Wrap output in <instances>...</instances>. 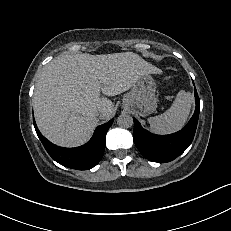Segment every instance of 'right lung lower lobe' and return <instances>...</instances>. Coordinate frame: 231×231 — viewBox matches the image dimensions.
Returning <instances> with one entry per match:
<instances>
[{
  "label": "right lung lower lobe",
  "instance_id": "right-lung-lower-lobe-1",
  "mask_svg": "<svg viewBox=\"0 0 231 231\" xmlns=\"http://www.w3.org/2000/svg\"><path fill=\"white\" fill-rule=\"evenodd\" d=\"M114 119L96 128L88 143L76 148H63L52 144L42 136L35 121L34 127L48 154L59 164L77 170H88L96 166L105 150L106 133Z\"/></svg>",
  "mask_w": 231,
  "mask_h": 231
}]
</instances>
